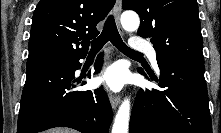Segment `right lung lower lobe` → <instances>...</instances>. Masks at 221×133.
<instances>
[{
  "label": "right lung lower lobe",
  "instance_id": "98d812e1",
  "mask_svg": "<svg viewBox=\"0 0 221 133\" xmlns=\"http://www.w3.org/2000/svg\"><path fill=\"white\" fill-rule=\"evenodd\" d=\"M84 57L27 66L17 133H36L53 127H70L82 133H108L113 116L103 88L73 90L76 82H80L74 74L81 67L79 59ZM101 64L99 56L95 73L100 71Z\"/></svg>",
  "mask_w": 221,
  "mask_h": 133
}]
</instances>
